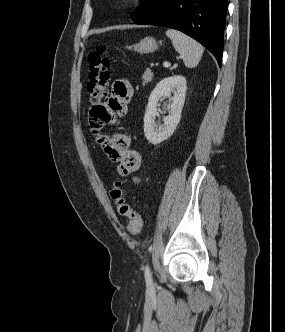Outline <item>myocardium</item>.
Returning <instances> with one entry per match:
<instances>
[{"label": "myocardium", "mask_w": 285, "mask_h": 332, "mask_svg": "<svg viewBox=\"0 0 285 332\" xmlns=\"http://www.w3.org/2000/svg\"><path fill=\"white\" fill-rule=\"evenodd\" d=\"M119 4L126 8H133L142 5L145 0H118Z\"/></svg>", "instance_id": "obj_1"}]
</instances>
